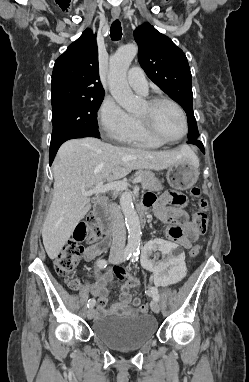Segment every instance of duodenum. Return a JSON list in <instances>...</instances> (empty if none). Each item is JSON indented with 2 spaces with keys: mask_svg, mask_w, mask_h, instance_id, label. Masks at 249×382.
<instances>
[{
  "mask_svg": "<svg viewBox=\"0 0 249 382\" xmlns=\"http://www.w3.org/2000/svg\"><path fill=\"white\" fill-rule=\"evenodd\" d=\"M106 204H107L106 198L102 196L99 197L93 206V213L95 217L97 218V220L99 221L103 233L109 237L113 232V225L110 218L105 213ZM145 208L146 207L144 204H140L138 206V212H139L141 224H145L146 222Z\"/></svg>",
  "mask_w": 249,
  "mask_h": 382,
  "instance_id": "1",
  "label": "duodenum"
}]
</instances>
